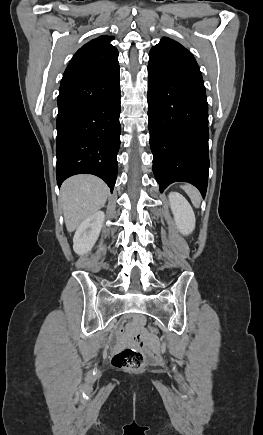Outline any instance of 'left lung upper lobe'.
<instances>
[{
    "label": "left lung upper lobe",
    "instance_id": "obj_1",
    "mask_svg": "<svg viewBox=\"0 0 263 435\" xmlns=\"http://www.w3.org/2000/svg\"><path fill=\"white\" fill-rule=\"evenodd\" d=\"M149 57V62L169 73L203 81L192 53L172 39L163 37L156 46L152 47Z\"/></svg>",
    "mask_w": 263,
    "mask_h": 435
}]
</instances>
